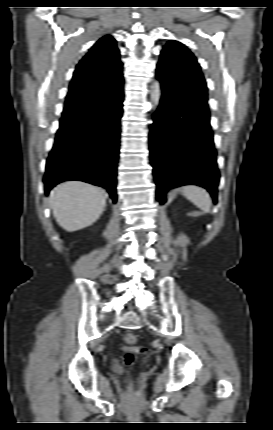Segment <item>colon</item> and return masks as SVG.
Wrapping results in <instances>:
<instances>
[{"mask_svg":"<svg viewBox=\"0 0 273 430\" xmlns=\"http://www.w3.org/2000/svg\"><path fill=\"white\" fill-rule=\"evenodd\" d=\"M123 339L129 345L135 344L137 341L136 336L131 332L125 333L123 335ZM139 352L140 350L136 348L126 350L122 357L124 364H126L127 366L131 365L133 363L135 354Z\"/></svg>","mask_w":273,"mask_h":430,"instance_id":"5ec220e1","label":"colon"}]
</instances>
